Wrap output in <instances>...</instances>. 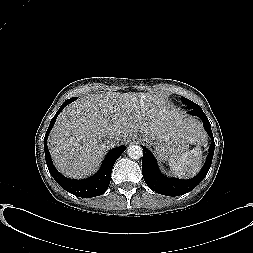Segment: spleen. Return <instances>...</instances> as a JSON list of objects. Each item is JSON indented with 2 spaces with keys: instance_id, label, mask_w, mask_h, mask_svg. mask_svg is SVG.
Returning <instances> with one entry per match:
<instances>
[{
  "instance_id": "obj_1",
  "label": "spleen",
  "mask_w": 253,
  "mask_h": 253,
  "mask_svg": "<svg viewBox=\"0 0 253 253\" xmlns=\"http://www.w3.org/2000/svg\"><path fill=\"white\" fill-rule=\"evenodd\" d=\"M170 170L180 178L196 175L202 166V150L198 145L190 151L176 153L169 157Z\"/></svg>"
}]
</instances>
